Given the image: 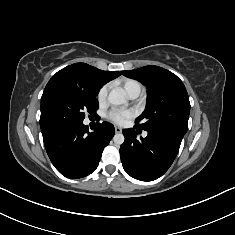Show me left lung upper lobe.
<instances>
[{
    "label": "left lung upper lobe",
    "instance_id": "5c2ea615",
    "mask_svg": "<svg viewBox=\"0 0 235 235\" xmlns=\"http://www.w3.org/2000/svg\"><path fill=\"white\" fill-rule=\"evenodd\" d=\"M147 87V104L135 120V128L172 130L185 135L188 128L190 102L182 81L172 72L154 65L121 71Z\"/></svg>",
    "mask_w": 235,
    "mask_h": 235
}]
</instances>
